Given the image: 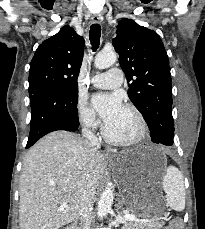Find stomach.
Masks as SVG:
<instances>
[{
	"instance_id": "0dacf381",
	"label": "stomach",
	"mask_w": 205,
	"mask_h": 229,
	"mask_svg": "<svg viewBox=\"0 0 205 229\" xmlns=\"http://www.w3.org/2000/svg\"><path fill=\"white\" fill-rule=\"evenodd\" d=\"M112 166L128 206L137 212L156 210L161 198L153 181L163 176L166 158L151 148H137L121 152Z\"/></svg>"
}]
</instances>
